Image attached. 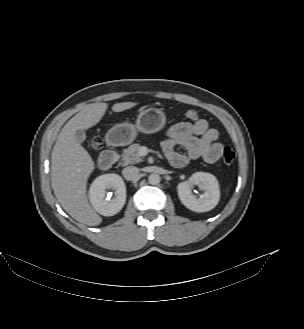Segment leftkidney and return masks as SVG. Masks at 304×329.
I'll return each mask as SVG.
<instances>
[{"mask_svg": "<svg viewBox=\"0 0 304 329\" xmlns=\"http://www.w3.org/2000/svg\"><path fill=\"white\" fill-rule=\"evenodd\" d=\"M193 185H198L204 190L200 198L192 194ZM177 192L181 203L194 212L210 211L220 199V189L216 177L205 172H196L188 180L179 183Z\"/></svg>", "mask_w": 304, "mask_h": 329, "instance_id": "5707ae66", "label": "left kidney"}]
</instances>
